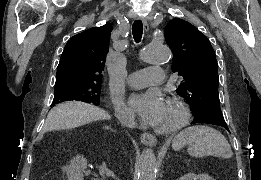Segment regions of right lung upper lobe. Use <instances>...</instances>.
<instances>
[{
    "mask_svg": "<svg viewBox=\"0 0 261 180\" xmlns=\"http://www.w3.org/2000/svg\"><path fill=\"white\" fill-rule=\"evenodd\" d=\"M112 26L90 28L73 36L66 44L57 67L56 84L101 82Z\"/></svg>",
    "mask_w": 261,
    "mask_h": 180,
    "instance_id": "cb5924a9",
    "label": "right lung upper lobe"
}]
</instances>
